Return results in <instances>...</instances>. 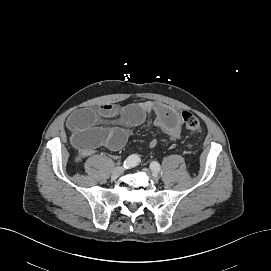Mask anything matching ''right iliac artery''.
Wrapping results in <instances>:
<instances>
[{"label":"right iliac artery","mask_w":271,"mask_h":271,"mask_svg":"<svg viewBox=\"0 0 271 271\" xmlns=\"http://www.w3.org/2000/svg\"><path fill=\"white\" fill-rule=\"evenodd\" d=\"M140 161V158L138 155L136 154H133V155H130L125 161H124V168L126 169H130L132 167H135Z\"/></svg>","instance_id":"1"}]
</instances>
